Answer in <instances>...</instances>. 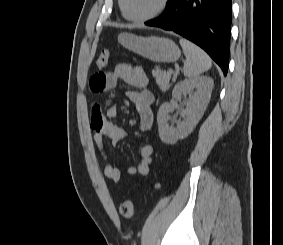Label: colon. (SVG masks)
Returning a JSON list of instances; mask_svg holds the SVG:
<instances>
[{
	"label": "colon",
	"mask_w": 283,
	"mask_h": 245,
	"mask_svg": "<svg viewBox=\"0 0 283 245\" xmlns=\"http://www.w3.org/2000/svg\"><path fill=\"white\" fill-rule=\"evenodd\" d=\"M110 51L109 50H104L101 52V54L97 57L96 59V66L98 68H103L107 66L110 60ZM120 213L122 216L129 218L133 215L134 213V203L131 199H125L119 207Z\"/></svg>",
	"instance_id": "obj_1"
}]
</instances>
